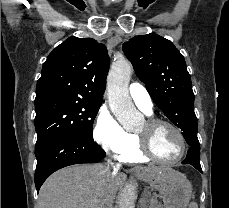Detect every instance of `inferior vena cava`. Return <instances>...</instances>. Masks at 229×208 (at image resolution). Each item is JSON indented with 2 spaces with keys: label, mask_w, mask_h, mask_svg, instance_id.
I'll use <instances>...</instances> for the list:
<instances>
[{
  "label": "inferior vena cava",
  "mask_w": 229,
  "mask_h": 208,
  "mask_svg": "<svg viewBox=\"0 0 229 208\" xmlns=\"http://www.w3.org/2000/svg\"><path fill=\"white\" fill-rule=\"evenodd\" d=\"M113 170L114 172H110V170H108V172H110L109 176H115V174H117L118 168H115V166H113ZM100 208H107V206H105L104 200H102Z\"/></svg>",
  "instance_id": "1"
}]
</instances>
